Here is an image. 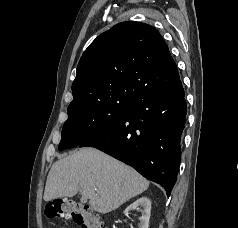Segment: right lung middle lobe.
<instances>
[{
    "label": "right lung middle lobe",
    "instance_id": "obj_1",
    "mask_svg": "<svg viewBox=\"0 0 238 228\" xmlns=\"http://www.w3.org/2000/svg\"><path fill=\"white\" fill-rule=\"evenodd\" d=\"M127 103L96 104L68 114L61 141L60 151L79 146L118 121L127 109Z\"/></svg>",
    "mask_w": 238,
    "mask_h": 228
}]
</instances>
